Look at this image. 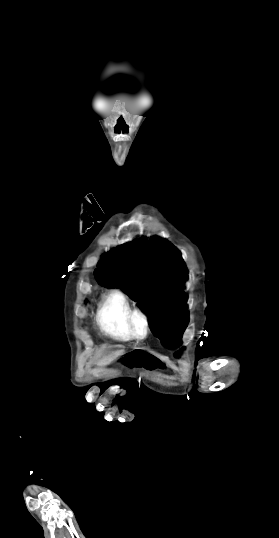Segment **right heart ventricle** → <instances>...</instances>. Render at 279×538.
<instances>
[{"label": "right heart ventricle", "mask_w": 279, "mask_h": 538, "mask_svg": "<svg viewBox=\"0 0 279 538\" xmlns=\"http://www.w3.org/2000/svg\"><path fill=\"white\" fill-rule=\"evenodd\" d=\"M99 225L97 220L90 219L82 226V234L101 238L103 233L99 229ZM132 309L133 306L127 296L120 290H113L103 297L98 307L97 323L107 335L121 340H129L131 336L126 321Z\"/></svg>", "instance_id": "e07e8e85"}]
</instances>
